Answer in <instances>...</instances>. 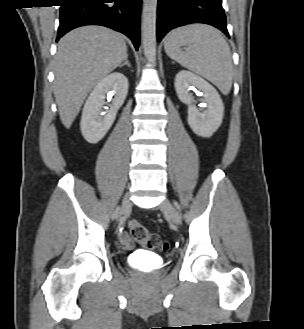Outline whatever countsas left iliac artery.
<instances>
[{"mask_svg": "<svg viewBox=\"0 0 304 329\" xmlns=\"http://www.w3.org/2000/svg\"><path fill=\"white\" fill-rule=\"evenodd\" d=\"M175 206L179 209V204L177 202H174Z\"/></svg>", "mask_w": 304, "mask_h": 329, "instance_id": "1", "label": "left iliac artery"}]
</instances>
